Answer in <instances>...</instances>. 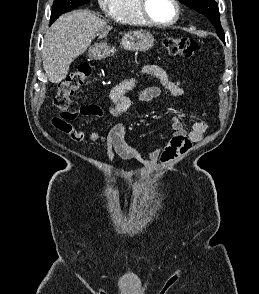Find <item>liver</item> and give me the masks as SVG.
Returning <instances> with one entry per match:
<instances>
[{
  "mask_svg": "<svg viewBox=\"0 0 259 294\" xmlns=\"http://www.w3.org/2000/svg\"><path fill=\"white\" fill-rule=\"evenodd\" d=\"M111 26L89 10H76L57 19L44 37L43 67L52 83H60L69 66L97 34L106 37Z\"/></svg>",
  "mask_w": 259,
  "mask_h": 294,
  "instance_id": "1",
  "label": "liver"
}]
</instances>
